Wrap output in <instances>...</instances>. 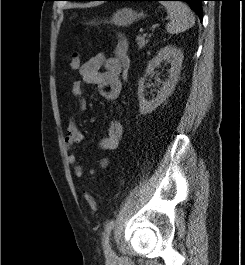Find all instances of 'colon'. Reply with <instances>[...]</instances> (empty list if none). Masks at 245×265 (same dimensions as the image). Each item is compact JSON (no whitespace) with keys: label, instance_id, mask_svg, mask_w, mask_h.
Instances as JSON below:
<instances>
[{"label":"colon","instance_id":"colon-1","mask_svg":"<svg viewBox=\"0 0 245 265\" xmlns=\"http://www.w3.org/2000/svg\"><path fill=\"white\" fill-rule=\"evenodd\" d=\"M115 58L117 59L121 68V77L126 79L130 67V57L128 54V43L120 37L115 51ZM68 64L71 70H77L80 66V55L78 53H71L68 55ZM89 208L95 212L97 211V204L94 197L88 193H84Z\"/></svg>","mask_w":245,"mask_h":265}]
</instances>
